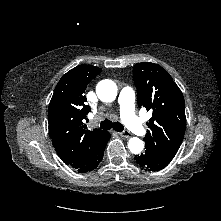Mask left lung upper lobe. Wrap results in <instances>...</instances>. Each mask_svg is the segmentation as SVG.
Instances as JSON below:
<instances>
[{"label":"left lung upper lobe","instance_id":"1","mask_svg":"<svg viewBox=\"0 0 221 221\" xmlns=\"http://www.w3.org/2000/svg\"><path fill=\"white\" fill-rule=\"evenodd\" d=\"M140 107L152 111L144 138L146 150L171 161L185 133V101L169 73L154 63H137L133 69Z\"/></svg>","mask_w":221,"mask_h":221}]
</instances>
